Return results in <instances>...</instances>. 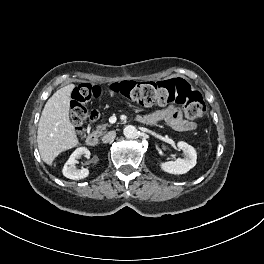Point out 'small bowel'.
<instances>
[{
  "label": "small bowel",
  "instance_id": "small-bowel-1",
  "mask_svg": "<svg viewBox=\"0 0 264 264\" xmlns=\"http://www.w3.org/2000/svg\"><path fill=\"white\" fill-rule=\"evenodd\" d=\"M141 120L147 124L164 120L173 129L181 132L193 131L196 128L195 122L185 118L181 110L173 105L151 112L143 116Z\"/></svg>",
  "mask_w": 264,
  "mask_h": 264
}]
</instances>
